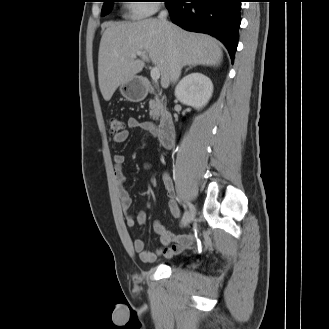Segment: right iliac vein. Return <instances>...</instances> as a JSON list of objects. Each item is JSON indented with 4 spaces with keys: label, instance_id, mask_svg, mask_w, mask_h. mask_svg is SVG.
<instances>
[{
    "label": "right iliac vein",
    "instance_id": "right-iliac-vein-1",
    "mask_svg": "<svg viewBox=\"0 0 329 329\" xmlns=\"http://www.w3.org/2000/svg\"><path fill=\"white\" fill-rule=\"evenodd\" d=\"M195 215V210L185 213L182 224L187 226L191 223Z\"/></svg>",
    "mask_w": 329,
    "mask_h": 329
}]
</instances>
